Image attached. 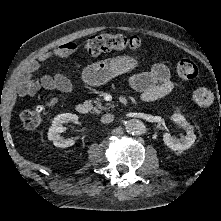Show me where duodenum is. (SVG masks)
Listing matches in <instances>:
<instances>
[{"instance_id":"duodenum-1","label":"duodenum","mask_w":221,"mask_h":221,"mask_svg":"<svg viewBox=\"0 0 221 221\" xmlns=\"http://www.w3.org/2000/svg\"><path fill=\"white\" fill-rule=\"evenodd\" d=\"M77 112L82 114V115H85L89 112L90 110V107L87 103H80L77 105Z\"/></svg>"}]
</instances>
